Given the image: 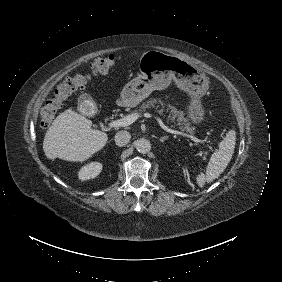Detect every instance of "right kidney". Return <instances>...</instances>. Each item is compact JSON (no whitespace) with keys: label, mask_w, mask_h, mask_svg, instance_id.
<instances>
[{"label":"right kidney","mask_w":282,"mask_h":282,"mask_svg":"<svg viewBox=\"0 0 282 282\" xmlns=\"http://www.w3.org/2000/svg\"><path fill=\"white\" fill-rule=\"evenodd\" d=\"M103 165L99 162H91L83 166L78 172V178L82 181L95 178L102 171Z\"/></svg>","instance_id":"right-kidney-1"}]
</instances>
